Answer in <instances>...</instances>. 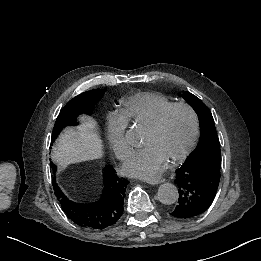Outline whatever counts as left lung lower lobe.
<instances>
[{
    "label": "left lung lower lobe",
    "mask_w": 261,
    "mask_h": 261,
    "mask_svg": "<svg viewBox=\"0 0 261 261\" xmlns=\"http://www.w3.org/2000/svg\"><path fill=\"white\" fill-rule=\"evenodd\" d=\"M220 181V167L201 164L182 165L176 170L179 188L177 206L170 211L175 218H194L204 213L214 200Z\"/></svg>",
    "instance_id": "left-lung-lower-lobe-1"
}]
</instances>
